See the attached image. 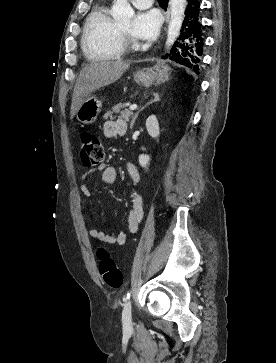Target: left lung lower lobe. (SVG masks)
Returning <instances> with one entry per match:
<instances>
[{"mask_svg":"<svg viewBox=\"0 0 276 363\" xmlns=\"http://www.w3.org/2000/svg\"><path fill=\"white\" fill-rule=\"evenodd\" d=\"M186 6L181 33L166 57L198 74L203 45L202 24L199 21L200 0H187Z\"/></svg>","mask_w":276,"mask_h":363,"instance_id":"1","label":"left lung lower lobe"}]
</instances>
